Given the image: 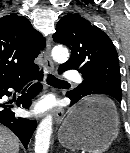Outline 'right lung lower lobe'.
I'll return each mask as SVG.
<instances>
[{"mask_svg":"<svg viewBox=\"0 0 130 153\" xmlns=\"http://www.w3.org/2000/svg\"><path fill=\"white\" fill-rule=\"evenodd\" d=\"M42 77V71L39 72L38 70L37 72L27 77L0 82V123L11 129L15 133V135H17L25 148H27V145L33 134V131L37 126V123L34 120L16 117L15 113L10 109L13 106L9 105L8 102L1 101V99L4 95H11V92L8 91L9 88L19 90L28 81L32 79L41 80ZM41 88L42 86L40 84H34L27 93L17 99L16 105L28 109L31 105V99L39 93Z\"/></svg>","mask_w":130,"mask_h":153,"instance_id":"1","label":"right lung lower lobe"}]
</instances>
